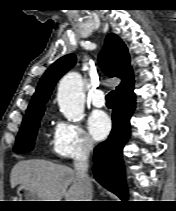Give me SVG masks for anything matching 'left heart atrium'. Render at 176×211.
Segmentation results:
<instances>
[{"mask_svg": "<svg viewBox=\"0 0 176 211\" xmlns=\"http://www.w3.org/2000/svg\"><path fill=\"white\" fill-rule=\"evenodd\" d=\"M90 134L95 140L104 139L111 130V121L102 111L93 112L87 121Z\"/></svg>", "mask_w": 176, "mask_h": 211, "instance_id": "left-heart-atrium-1", "label": "left heart atrium"}]
</instances>
